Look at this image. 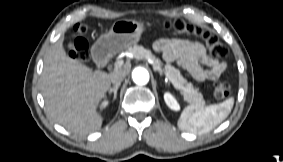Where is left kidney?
<instances>
[{"label":"left kidney","instance_id":"5707ae66","mask_svg":"<svg viewBox=\"0 0 283 162\" xmlns=\"http://www.w3.org/2000/svg\"><path fill=\"white\" fill-rule=\"evenodd\" d=\"M164 100L170 109L174 111H178L180 109L178 102L170 93L167 92L164 94Z\"/></svg>","mask_w":283,"mask_h":162}]
</instances>
